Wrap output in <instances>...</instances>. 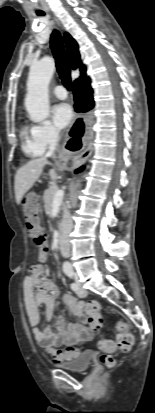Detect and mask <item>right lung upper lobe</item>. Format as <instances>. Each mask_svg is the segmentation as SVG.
Returning a JSON list of instances; mask_svg holds the SVG:
<instances>
[{"label":"right lung upper lobe","mask_w":155,"mask_h":413,"mask_svg":"<svg viewBox=\"0 0 155 413\" xmlns=\"http://www.w3.org/2000/svg\"><path fill=\"white\" fill-rule=\"evenodd\" d=\"M65 44L67 47L71 67L73 69L80 67L81 74L85 73V66L81 64L78 45L68 33H65Z\"/></svg>","instance_id":"right-lung-upper-lobe-1"}]
</instances>
